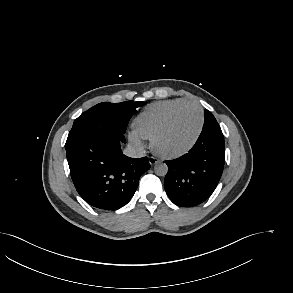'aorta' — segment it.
<instances>
[{
  "label": "aorta",
  "mask_w": 293,
  "mask_h": 293,
  "mask_svg": "<svg viewBox=\"0 0 293 293\" xmlns=\"http://www.w3.org/2000/svg\"><path fill=\"white\" fill-rule=\"evenodd\" d=\"M154 171L158 176H165L168 172V167L165 163L158 162L154 166Z\"/></svg>",
  "instance_id": "762f6f07"
}]
</instances>
